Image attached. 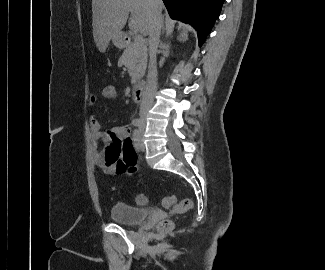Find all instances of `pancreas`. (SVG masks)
Listing matches in <instances>:
<instances>
[{"label":"pancreas","instance_id":"obj_1","mask_svg":"<svg viewBox=\"0 0 325 270\" xmlns=\"http://www.w3.org/2000/svg\"><path fill=\"white\" fill-rule=\"evenodd\" d=\"M119 64L124 65L131 77V83L136 84L143 76L147 66V46L131 43L124 50Z\"/></svg>","mask_w":325,"mask_h":270}]
</instances>
